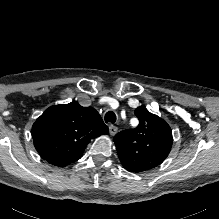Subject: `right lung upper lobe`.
<instances>
[{
  "instance_id": "obj_1",
  "label": "right lung upper lobe",
  "mask_w": 219,
  "mask_h": 219,
  "mask_svg": "<svg viewBox=\"0 0 219 219\" xmlns=\"http://www.w3.org/2000/svg\"><path fill=\"white\" fill-rule=\"evenodd\" d=\"M108 132L94 108L71 102L46 109L33 124L32 138L44 160L65 167L82 157L91 139Z\"/></svg>"
}]
</instances>
